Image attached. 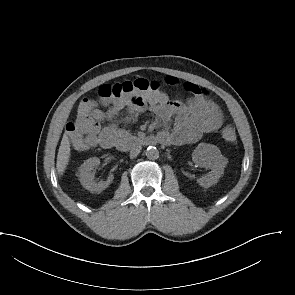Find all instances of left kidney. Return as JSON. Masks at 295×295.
Masks as SVG:
<instances>
[{
  "label": "left kidney",
  "instance_id": "left-kidney-1",
  "mask_svg": "<svg viewBox=\"0 0 295 295\" xmlns=\"http://www.w3.org/2000/svg\"><path fill=\"white\" fill-rule=\"evenodd\" d=\"M192 160L201 167L211 171L197 180L199 185L209 188L216 184L224 173L227 159L221 154L219 148L212 144L200 143L192 153Z\"/></svg>",
  "mask_w": 295,
  "mask_h": 295
}]
</instances>
